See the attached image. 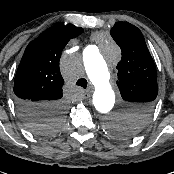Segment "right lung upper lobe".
<instances>
[{
    "instance_id": "obj_1",
    "label": "right lung upper lobe",
    "mask_w": 174,
    "mask_h": 174,
    "mask_svg": "<svg viewBox=\"0 0 174 174\" xmlns=\"http://www.w3.org/2000/svg\"><path fill=\"white\" fill-rule=\"evenodd\" d=\"M82 32L80 27L58 22L28 44L14 80L17 100L59 102L64 84L59 69L61 52L71 38ZM39 114L26 117V123L38 122Z\"/></svg>"
}]
</instances>
